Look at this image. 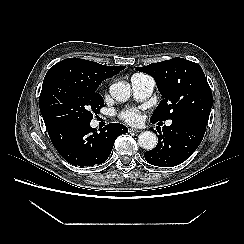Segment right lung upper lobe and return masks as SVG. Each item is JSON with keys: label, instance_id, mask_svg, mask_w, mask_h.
<instances>
[{"label": "right lung upper lobe", "instance_id": "right-lung-upper-lobe-1", "mask_svg": "<svg viewBox=\"0 0 244 244\" xmlns=\"http://www.w3.org/2000/svg\"><path fill=\"white\" fill-rule=\"evenodd\" d=\"M124 68L105 66L80 58H68L56 63L46 75L57 73L89 90L96 91L103 80L113 77Z\"/></svg>", "mask_w": 244, "mask_h": 244}]
</instances>
